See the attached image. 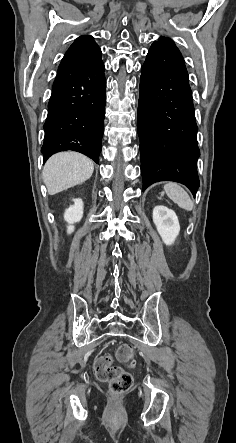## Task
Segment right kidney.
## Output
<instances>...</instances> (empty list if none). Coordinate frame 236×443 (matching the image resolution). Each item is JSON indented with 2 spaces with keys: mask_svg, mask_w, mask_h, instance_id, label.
Instances as JSON below:
<instances>
[{
  "mask_svg": "<svg viewBox=\"0 0 236 443\" xmlns=\"http://www.w3.org/2000/svg\"><path fill=\"white\" fill-rule=\"evenodd\" d=\"M74 205L70 206L64 213V219L68 222V233L74 231L73 224L79 222L83 216V202L81 199H74Z\"/></svg>",
  "mask_w": 236,
  "mask_h": 443,
  "instance_id": "right-kidney-1",
  "label": "right kidney"
}]
</instances>
